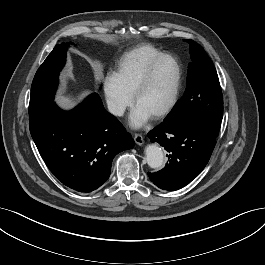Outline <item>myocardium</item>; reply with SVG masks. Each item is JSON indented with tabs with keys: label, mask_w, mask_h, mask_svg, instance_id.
I'll use <instances>...</instances> for the list:
<instances>
[{
	"label": "myocardium",
	"mask_w": 265,
	"mask_h": 265,
	"mask_svg": "<svg viewBox=\"0 0 265 265\" xmlns=\"http://www.w3.org/2000/svg\"><path fill=\"white\" fill-rule=\"evenodd\" d=\"M165 59H170L174 62L175 67H176V81H175V85H174V89L172 92V95L168 101V103L159 111H157L155 114H153L151 117L153 119H160L162 117H165L166 115H168L176 106L178 99H179V95H180V91H181V86H182V68H181V64L179 62V60L177 59V57H175L172 54H167V53H162L161 55L157 56L156 58H154L146 67V69L144 70L143 74L141 75L140 79L138 80L131 98H132V102L135 105L138 97L141 95V93L145 90V88L147 87L153 72L155 70V68L157 67V65L165 60Z\"/></svg>",
	"instance_id": "obj_1"
}]
</instances>
